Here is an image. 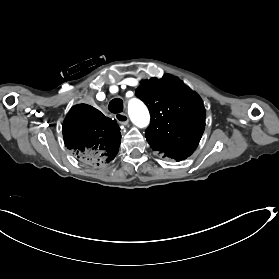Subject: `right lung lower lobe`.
Segmentation results:
<instances>
[{"label":"right lung lower lobe","instance_id":"right-lung-lower-lobe-1","mask_svg":"<svg viewBox=\"0 0 279 279\" xmlns=\"http://www.w3.org/2000/svg\"><path fill=\"white\" fill-rule=\"evenodd\" d=\"M62 133L71 154L90 167L112 161L121 142L117 122L87 104L71 108L63 122Z\"/></svg>","mask_w":279,"mask_h":279}]
</instances>
